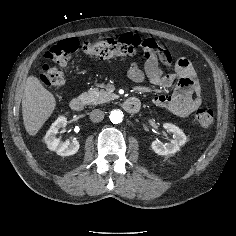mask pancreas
Wrapping results in <instances>:
<instances>
[{"label": "pancreas", "mask_w": 236, "mask_h": 236, "mask_svg": "<svg viewBox=\"0 0 236 236\" xmlns=\"http://www.w3.org/2000/svg\"><path fill=\"white\" fill-rule=\"evenodd\" d=\"M79 98L86 104L97 105L113 100L115 95L105 90L99 91L98 88H91L88 90V92H83Z\"/></svg>", "instance_id": "pancreas-1"}]
</instances>
